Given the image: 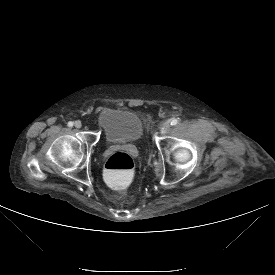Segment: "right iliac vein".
Masks as SVG:
<instances>
[{
  "label": "right iliac vein",
  "instance_id": "1",
  "mask_svg": "<svg viewBox=\"0 0 275 275\" xmlns=\"http://www.w3.org/2000/svg\"><path fill=\"white\" fill-rule=\"evenodd\" d=\"M74 126H75L76 128H81V126H82L81 121H79V120L75 121Z\"/></svg>",
  "mask_w": 275,
  "mask_h": 275
}]
</instances>
